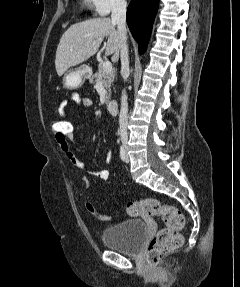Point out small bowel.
<instances>
[{
	"label": "small bowel",
	"mask_w": 240,
	"mask_h": 287,
	"mask_svg": "<svg viewBox=\"0 0 240 287\" xmlns=\"http://www.w3.org/2000/svg\"><path fill=\"white\" fill-rule=\"evenodd\" d=\"M71 102L75 105V107H83L89 108L92 106L93 102L90 98L81 97L79 93L72 92L70 95ZM68 105V101L66 99L62 100L59 104V111L62 116L66 114V108ZM56 142L61 149V151L65 154L69 162L80 169L81 171L88 173L91 176L97 177L101 180H108L110 178V171L107 169L99 170V171H90L87 169L84 161L78 156L75 148H74V130L72 127V133L68 139L65 141H60L56 139ZM112 159L111 153H108L107 162L110 163Z\"/></svg>",
	"instance_id": "1"
}]
</instances>
